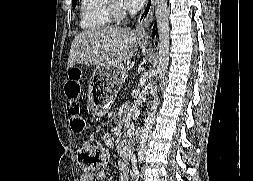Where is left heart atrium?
I'll use <instances>...</instances> for the list:
<instances>
[{
	"instance_id": "obj_1",
	"label": "left heart atrium",
	"mask_w": 253,
	"mask_h": 181,
	"mask_svg": "<svg viewBox=\"0 0 253 181\" xmlns=\"http://www.w3.org/2000/svg\"><path fill=\"white\" fill-rule=\"evenodd\" d=\"M145 0H122L123 6L126 9H139L143 6Z\"/></svg>"
}]
</instances>
